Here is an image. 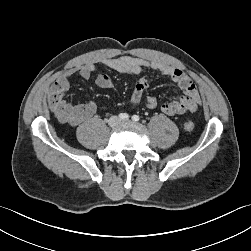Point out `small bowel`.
Segmentation results:
<instances>
[{
  "mask_svg": "<svg viewBox=\"0 0 251 251\" xmlns=\"http://www.w3.org/2000/svg\"><path fill=\"white\" fill-rule=\"evenodd\" d=\"M101 64L119 73L132 76L139 75L144 69H151L170 77L183 91V95L179 98H172L161 105V110L166 115L174 116L195 112L201 104L199 92L192 79L184 71L169 64L129 55L105 58L101 61ZM95 70V65L88 63L60 75L52 83L48 91L47 100L52 113L59 121L76 126L96 113L97 104L94 101L73 105L64 99L66 92L70 89V78L74 73H78L81 78L88 80L92 77ZM94 81L98 87L103 89H112L114 87L112 79L106 74L96 75ZM148 86V78L143 77L136 80L130 100L131 106H136L140 103ZM157 105L156 97L149 96L146 98L145 106L147 108L154 109Z\"/></svg>",
  "mask_w": 251,
  "mask_h": 251,
  "instance_id": "c3829d8e",
  "label": "small bowel"
}]
</instances>
